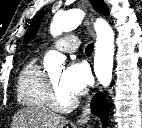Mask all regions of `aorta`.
Listing matches in <instances>:
<instances>
[{"label": "aorta", "instance_id": "aorta-1", "mask_svg": "<svg viewBox=\"0 0 142 128\" xmlns=\"http://www.w3.org/2000/svg\"><path fill=\"white\" fill-rule=\"evenodd\" d=\"M83 18L84 12L80 9L58 11L50 25V33L55 37L72 31L81 24ZM95 31L94 72L100 84L107 87L112 80L115 35L111 26L103 19L96 21ZM63 63L64 57L57 51H49L44 57V67L48 71L62 67Z\"/></svg>", "mask_w": 142, "mask_h": 128}]
</instances>
